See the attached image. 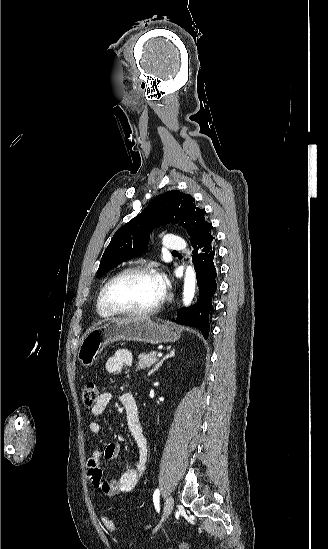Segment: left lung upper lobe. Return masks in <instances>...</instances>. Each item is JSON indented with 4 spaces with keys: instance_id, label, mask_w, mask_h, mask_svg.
<instances>
[{
    "instance_id": "obj_1",
    "label": "left lung upper lobe",
    "mask_w": 328,
    "mask_h": 549,
    "mask_svg": "<svg viewBox=\"0 0 328 549\" xmlns=\"http://www.w3.org/2000/svg\"><path fill=\"white\" fill-rule=\"evenodd\" d=\"M205 214V210L195 205L191 195L179 190L157 196L141 214L113 235L101 258L97 277L143 253L147 249L150 232L161 225L172 223L184 227L192 245L211 236L212 224L205 220Z\"/></svg>"
}]
</instances>
